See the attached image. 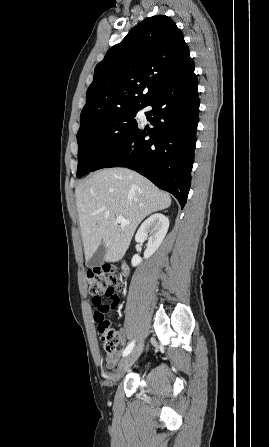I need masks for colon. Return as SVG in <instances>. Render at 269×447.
Instances as JSON below:
<instances>
[{"label":"colon","mask_w":269,"mask_h":447,"mask_svg":"<svg viewBox=\"0 0 269 447\" xmlns=\"http://www.w3.org/2000/svg\"><path fill=\"white\" fill-rule=\"evenodd\" d=\"M88 290L92 296H111L117 295L122 286V281L118 275L113 273H103L99 266H92L86 274ZM94 305L97 311L93 317L98 325V333L105 344V350L112 351L120 342V334L111 327V322L106 319V315L119 304V300H114L107 305L102 303L100 298H94Z\"/></svg>","instance_id":"colon-1"}]
</instances>
